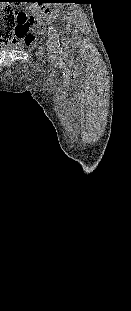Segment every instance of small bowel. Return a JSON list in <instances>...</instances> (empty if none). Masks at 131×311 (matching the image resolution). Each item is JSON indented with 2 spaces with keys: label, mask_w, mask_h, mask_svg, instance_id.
Returning a JSON list of instances; mask_svg holds the SVG:
<instances>
[{
  "label": "small bowel",
  "mask_w": 131,
  "mask_h": 311,
  "mask_svg": "<svg viewBox=\"0 0 131 311\" xmlns=\"http://www.w3.org/2000/svg\"><path fill=\"white\" fill-rule=\"evenodd\" d=\"M26 29L27 28L24 24H21L10 33L13 45L23 44L29 46L35 42L36 35L34 33L27 32Z\"/></svg>",
  "instance_id": "obj_1"
}]
</instances>
